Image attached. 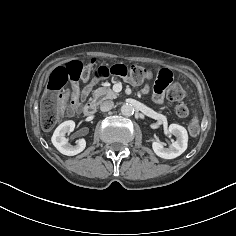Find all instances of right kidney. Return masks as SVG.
I'll use <instances>...</instances> for the list:
<instances>
[{"instance_id":"obj_1","label":"right kidney","mask_w":236,"mask_h":236,"mask_svg":"<svg viewBox=\"0 0 236 236\" xmlns=\"http://www.w3.org/2000/svg\"><path fill=\"white\" fill-rule=\"evenodd\" d=\"M75 128V122L68 120L61 123L53 133L51 141L57 150L67 156H74L82 152L86 147L84 139H79L75 142V145H71L66 138V134L70 133Z\"/></svg>"}]
</instances>
